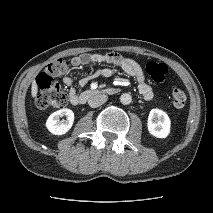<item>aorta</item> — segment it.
<instances>
[{
    "label": "aorta",
    "instance_id": "aorta-1",
    "mask_svg": "<svg viewBox=\"0 0 213 213\" xmlns=\"http://www.w3.org/2000/svg\"><path fill=\"white\" fill-rule=\"evenodd\" d=\"M132 101V97L130 94L128 93H123L121 96H120V102L124 105H128L130 104Z\"/></svg>",
    "mask_w": 213,
    "mask_h": 213
}]
</instances>
